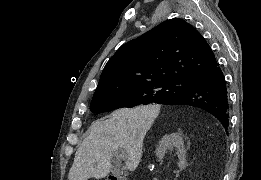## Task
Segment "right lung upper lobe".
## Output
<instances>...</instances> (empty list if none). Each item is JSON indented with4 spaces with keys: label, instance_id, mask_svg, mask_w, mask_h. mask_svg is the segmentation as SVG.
<instances>
[{
    "label": "right lung upper lobe",
    "instance_id": "cb5924a9",
    "mask_svg": "<svg viewBox=\"0 0 261 180\" xmlns=\"http://www.w3.org/2000/svg\"><path fill=\"white\" fill-rule=\"evenodd\" d=\"M203 36L182 19H170L124 44L105 65L93 98L162 80L191 81L215 67Z\"/></svg>",
    "mask_w": 261,
    "mask_h": 180
}]
</instances>
